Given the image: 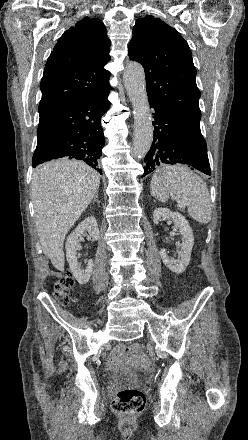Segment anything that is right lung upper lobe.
<instances>
[{"instance_id":"right-lung-upper-lobe-1","label":"right lung upper lobe","mask_w":248,"mask_h":440,"mask_svg":"<svg viewBox=\"0 0 248 440\" xmlns=\"http://www.w3.org/2000/svg\"><path fill=\"white\" fill-rule=\"evenodd\" d=\"M110 41L101 20L85 17L64 32L51 52L41 80L39 114L79 97L106 91Z\"/></svg>"}]
</instances>
